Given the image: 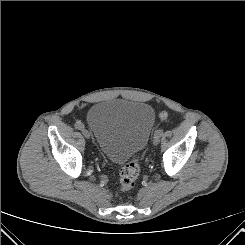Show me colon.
Listing matches in <instances>:
<instances>
[{
  "mask_svg": "<svg viewBox=\"0 0 245 245\" xmlns=\"http://www.w3.org/2000/svg\"><path fill=\"white\" fill-rule=\"evenodd\" d=\"M161 116L163 119H167L168 114L162 112ZM140 171L139 161L137 157L132 158L127 162L120 170V181L118 186L119 192H126L132 189L138 178Z\"/></svg>",
  "mask_w": 245,
  "mask_h": 245,
  "instance_id": "1",
  "label": "colon"
}]
</instances>
